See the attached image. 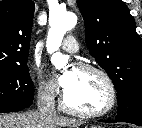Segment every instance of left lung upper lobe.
<instances>
[{
	"label": "left lung upper lobe",
	"instance_id": "obj_1",
	"mask_svg": "<svg viewBox=\"0 0 142 128\" xmlns=\"http://www.w3.org/2000/svg\"><path fill=\"white\" fill-rule=\"evenodd\" d=\"M90 54L107 72L118 97L116 118H142V44L121 0H77Z\"/></svg>",
	"mask_w": 142,
	"mask_h": 128
}]
</instances>
